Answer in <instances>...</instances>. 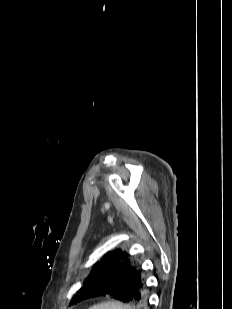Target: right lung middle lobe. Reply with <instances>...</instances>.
Masks as SVG:
<instances>
[{
  "instance_id": "obj_1",
  "label": "right lung middle lobe",
  "mask_w": 232,
  "mask_h": 309,
  "mask_svg": "<svg viewBox=\"0 0 232 309\" xmlns=\"http://www.w3.org/2000/svg\"><path fill=\"white\" fill-rule=\"evenodd\" d=\"M131 277V274H120L113 270L99 271L94 274H90L89 277L85 280L81 289L73 296L71 304H77L85 300L87 297V290L90 287L101 286L103 284H113L117 280Z\"/></svg>"
}]
</instances>
